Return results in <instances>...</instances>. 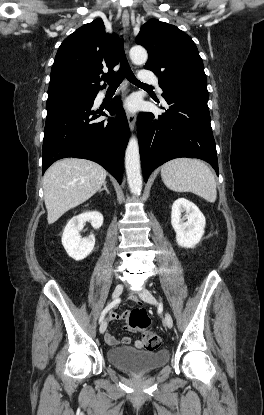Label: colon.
<instances>
[{
    "instance_id": "1",
    "label": "colon",
    "mask_w": 264,
    "mask_h": 415,
    "mask_svg": "<svg viewBox=\"0 0 264 415\" xmlns=\"http://www.w3.org/2000/svg\"><path fill=\"white\" fill-rule=\"evenodd\" d=\"M130 326L137 328L141 332L143 348L146 350H156L160 346V338L149 329L150 317L142 308H136L129 314Z\"/></svg>"
}]
</instances>
